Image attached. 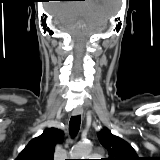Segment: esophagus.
Returning <instances> with one entry per match:
<instances>
[{"mask_svg": "<svg viewBox=\"0 0 160 160\" xmlns=\"http://www.w3.org/2000/svg\"><path fill=\"white\" fill-rule=\"evenodd\" d=\"M83 113V110L82 108H75L73 111H72V115L73 116H79Z\"/></svg>", "mask_w": 160, "mask_h": 160, "instance_id": "obj_1", "label": "esophagus"}]
</instances>
